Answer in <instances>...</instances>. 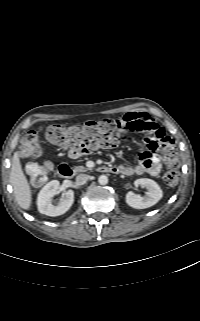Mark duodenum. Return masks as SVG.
Instances as JSON below:
<instances>
[{"instance_id": "410a0bca", "label": "duodenum", "mask_w": 200, "mask_h": 321, "mask_svg": "<svg viewBox=\"0 0 200 321\" xmlns=\"http://www.w3.org/2000/svg\"><path fill=\"white\" fill-rule=\"evenodd\" d=\"M100 170L108 173H119L118 168L114 166H101ZM58 174L62 178L69 179L73 176V169L68 164H61L58 167Z\"/></svg>"}]
</instances>
